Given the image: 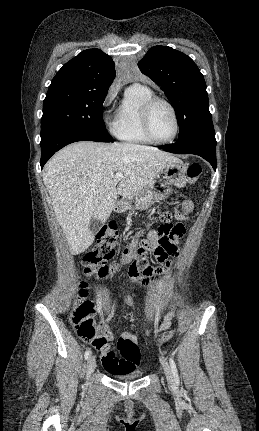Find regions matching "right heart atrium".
I'll return each instance as SVG.
<instances>
[{
	"mask_svg": "<svg viewBox=\"0 0 259 431\" xmlns=\"http://www.w3.org/2000/svg\"><path fill=\"white\" fill-rule=\"evenodd\" d=\"M117 87L116 86H112L103 101V115H104V120L105 122L110 125L113 126L114 125V115L112 114L110 107L111 104L117 94Z\"/></svg>",
	"mask_w": 259,
	"mask_h": 431,
	"instance_id": "right-heart-atrium-1",
	"label": "right heart atrium"
}]
</instances>
